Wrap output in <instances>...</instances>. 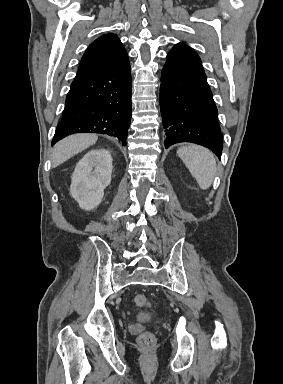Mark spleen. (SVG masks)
<instances>
[{"label": "spleen", "instance_id": "3e777b00", "mask_svg": "<svg viewBox=\"0 0 283 384\" xmlns=\"http://www.w3.org/2000/svg\"><path fill=\"white\" fill-rule=\"evenodd\" d=\"M177 154L188 168L191 176L195 178L198 186L202 190L210 188L217 172L214 154L207 148L195 146V144L179 148Z\"/></svg>", "mask_w": 283, "mask_h": 384}]
</instances>
